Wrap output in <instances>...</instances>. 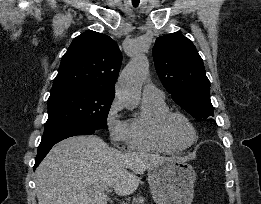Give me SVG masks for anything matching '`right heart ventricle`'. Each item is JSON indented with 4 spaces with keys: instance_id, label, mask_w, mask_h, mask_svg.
I'll return each mask as SVG.
<instances>
[{
    "instance_id": "obj_1",
    "label": "right heart ventricle",
    "mask_w": 261,
    "mask_h": 204,
    "mask_svg": "<svg viewBox=\"0 0 261 204\" xmlns=\"http://www.w3.org/2000/svg\"><path fill=\"white\" fill-rule=\"evenodd\" d=\"M169 106L163 99H143L141 113L128 122L127 145L133 150L173 154L179 150L159 134L158 122Z\"/></svg>"
}]
</instances>
